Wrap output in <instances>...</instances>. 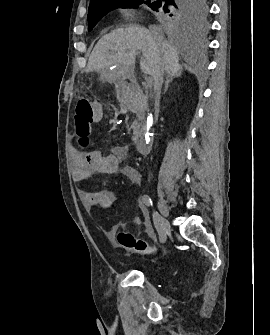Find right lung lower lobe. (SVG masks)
Masks as SVG:
<instances>
[{"label": "right lung lower lobe", "mask_w": 270, "mask_h": 335, "mask_svg": "<svg viewBox=\"0 0 270 335\" xmlns=\"http://www.w3.org/2000/svg\"><path fill=\"white\" fill-rule=\"evenodd\" d=\"M162 1H163V0H162ZM165 2H166V3H168V1H167V0H165ZM165 2H162V7L164 6Z\"/></svg>", "instance_id": "1"}]
</instances>
